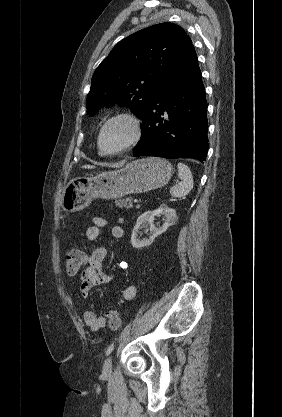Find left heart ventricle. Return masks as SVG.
<instances>
[{
  "instance_id": "left-heart-ventricle-1",
  "label": "left heart ventricle",
  "mask_w": 282,
  "mask_h": 417,
  "mask_svg": "<svg viewBox=\"0 0 282 417\" xmlns=\"http://www.w3.org/2000/svg\"><path fill=\"white\" fill-rule=\"evenodd\" d=\"M128 136V129L123 124H117L110 128L104 135L103 146L111 150L125 141Z\"/></svg>"
}]
</instances>
